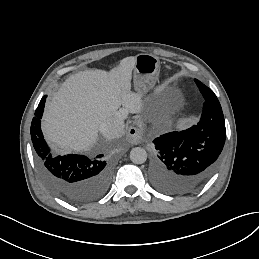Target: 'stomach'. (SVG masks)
<instances>
[{"mask_svg":"<svg viewBox=\"0 0 259 259\" xmlns=\"http://www.w3.org/2000/svg\"><path fill=\"white\" fill-rule=\"evenodd\" d=\"M137 62L135 72L145 76H156L160 71L159 59L151 54H139L136 56Z\"/></svg>","mask_w":259,"mask_h":259,"instance_id":"stomach-1","label":"stomach"}]
</instances>
